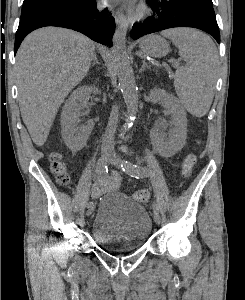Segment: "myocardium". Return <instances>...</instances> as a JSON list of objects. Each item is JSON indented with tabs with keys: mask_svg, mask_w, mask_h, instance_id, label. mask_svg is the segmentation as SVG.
<instances>
[{
	"mask_svg": "<svg viewBox=\"0 0 245 300\" xmlns=\"http://www.w3.org/2000/svg\"><path fill=\"white\" fill-rule=\"evenodd\" d=\"M145 12V10L142 8L141 10H140V15H142L143 13Z\"/></svg>",
	"mask_w": 245,
	"mask_h": 300,
	"instance_id": "obj_1",
	"label": "myocardium"
}]
</instances>
